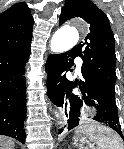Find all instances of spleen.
<instances>
[{"label":"spleen","mask_w":124,"mask_h":149,"mask_svg":"<svg viewBox=\"0 0 124 149\" xmlns=\"http://www.w3.org/2000/svg\"><path fill=\"white\" fill-rule=\"evenodd\" d=\"M81 129H87V127L80 126L76 129L75 133H78ZM88 130L91 131L90 129ZM91 137L98 144L100 149H120V140L118 137H110L107 133H98L96 135H91Z\"/></svg>","instance_id":"spleen-1"}]
</instances>
